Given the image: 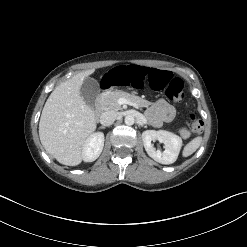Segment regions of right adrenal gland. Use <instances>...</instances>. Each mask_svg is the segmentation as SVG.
Instances as JSON below:
<instances>
[{"mask_svg":"<svg viewBox=\"0 0 247 247\" xmlns=\"http://www.w3.org/2000/svg\"><path fill=\"white\" fill-rule=\"evenodd\" d=\"M101 129H104L105 127H100Z\"/></svg>","mask_w":247,"mask_h":247,"instance_id":"2a0ac1e0","label":"right adrenal gland"}]
</instances>
